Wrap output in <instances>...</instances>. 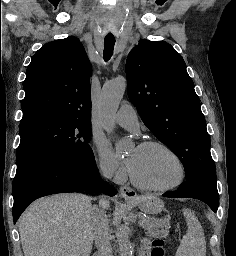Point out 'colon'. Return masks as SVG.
<instances>
[{
	"mask_svg": "<svg viewBox=\"0 0 236 256\" xmlns=\"http://www.w3.org/2000/svg\"><path fill=\"white\" fill-rule=\"evenodd\" d=\"M150 256H165V241L161 236H156L153 239Z\"/></svg>",
	"mask_w": 236,
	"mask_h": 256,
	"instance_id": "1",
	"label": "colon"
}]
</instances>
